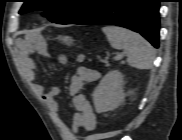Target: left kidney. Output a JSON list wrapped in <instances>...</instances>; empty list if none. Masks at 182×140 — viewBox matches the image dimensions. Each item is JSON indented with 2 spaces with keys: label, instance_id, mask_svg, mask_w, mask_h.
<instances>
[{
  "label": "left kidney",
  "instance_id": "left-kidney-1",
  "mask_svg": "<svg viewBox=\"0 0 182 140\" xmlns=\"http://www.w3.org/2000/svg\"><path fill=\"white\" fill-rule=\"evenodd\" d=\"M123 75L115 70L107 73L93 93L94 107L97 113L113 111L124 102Z\"/></svg>",
  "mask_w": 182,
  "mask_h": 140
}]
</instances>
